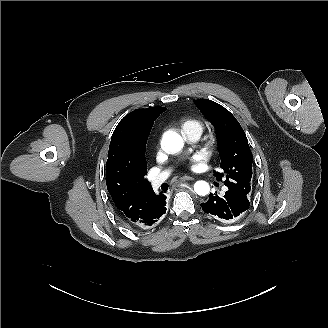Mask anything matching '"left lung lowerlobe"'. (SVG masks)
Returning a JSON list of instances; mask_svg holds the SVG:
<instances>
[{
  "label": "left lung lower lobe",
  "mask_w": 328,
  "mask_h": 328,
  "mask_svg": "<svg viewBox=\"0 0 328 328\" xmlns=\"http://www.w3.org/2000/svg\"><path fill=\"white\" fill-rule=\"evenodd\" d=\"M249 205L247 197L229 189L223 197L210 193L208 201L202 203L201 207L215 219L228 222L244 213Z\"/></svg>",
  "instance_id": "1"
}]
</instances>
